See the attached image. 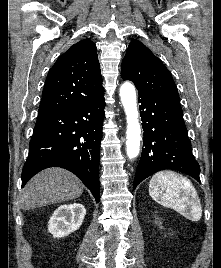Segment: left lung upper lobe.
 <instances>
[{"label":"left lung upper lobe","mask_w":221,"mask_h":268,"mask_svg":"<svg viewBox=\"0 0 221 268\" xmlns=\"http://www.w3.org/2000/svg\"><path fill=\"white\" fill-rule=\"evenodd\" d=\"M121 76L124 80L132 81L138 92L179 99L169 70L138 40L128 46L122 61Z\"/></svg>","instance_id":"left-lung-upper-lobe-1"}]
</instances>
